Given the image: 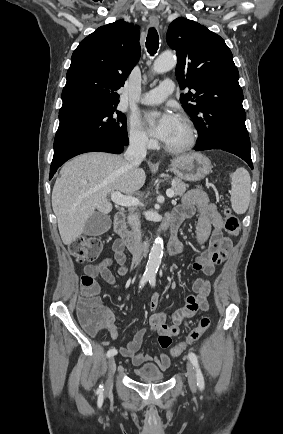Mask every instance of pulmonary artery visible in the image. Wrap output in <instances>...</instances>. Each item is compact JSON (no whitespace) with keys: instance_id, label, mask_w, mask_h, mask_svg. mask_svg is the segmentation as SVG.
<instances>
[{"instance_id":"pulmonary-artery-1","label":"pulmonary artery","mask_w":283,"mask_h":434,"mask_svg":"<svg viewBox=\"0 0 283 434\" xmlns=\"http://www.w3.org/2000/svg\"><path fill=\"white\" fill-rule=\"evenodd\" d=\"M173 91L174 82L164 80L156 88L141 95L138 101L142 104H158L163 102Z\"/></svg>"}]
</instances>
